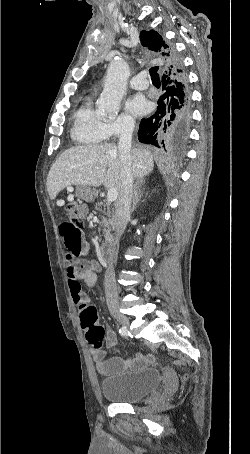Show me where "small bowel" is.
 <instances>
[{
  "mask_svg": "<svg viewBox=\"0 0 250 454\" xmlns=\"http://www.w3.org/2000/svg\"><path fill=\"white\" fill-rule=\"evenodd\" d=\"M60 235L67 250L66 262L69 289L72 300L80 312L83 307L91 304L90 298L82 288L81 283L84 282L88 287H93L97 281L99 267L96 262L82 258L87 252L88 244L80 229L74 228L69 222H64L60 225ZM106 344L109 348H113L116 344V336L112 330L107 331ZM91 355L96 362L97 371L105 376L123 371L129 367H139L152 362L154 359L151 355H139L132 360H125L119 357L106 359L104 351L95 347L91 349Z\"/></svg>",
  "mask_w": 250,
  "mask_h": 454,
  "instance_id": "1",
  "label": "small bowel"
}]
</instances>
